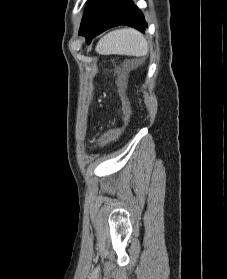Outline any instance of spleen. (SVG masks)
Here are the masks:
<instances>
[{
  "mask_svg": "<svg viewBox=\"0 0 227 279\" xmlns=\"http://www.w3.org/2000/svg\"><path fill=\"white\" fill-rule=\"evenodd\" d=\"M95 50L102 55L145 56L148 54V43L138 31L125 28L105 35L98 42Z\"/></svg>",
  "mask_w": 227,
  "mask_h": 279,
  "instance_id": "3e777b00",
  "label": "spleen"
}]
</instances>
